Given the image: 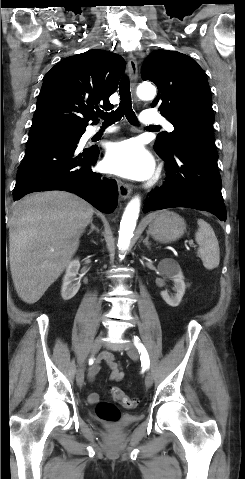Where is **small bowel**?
<instances>
[{
    "instance_id": "small-bowel-1",
    "label": "small bowel",
    "mask_w": 245,
    "mask_h": 479,
    "mask_svg": "<svg viewBox=\"0 0 245 479\" xmlns=\"http://www.w3.org/2000/svg\"><path fill=\"white\" fill-rule=\"evenodd\" d=\"M101 362H104L110 369H111V374H110V379L112 381H120L124 378V371L121 368L120 364L114 359L113 355L111 353L105 352L101 355L100 358ZM100 366L99 364H95L92 366L90 369V379H93L94 376L99 372ZM98 400V394L94 392H90L88 394V401L90 403H95Z\"/></svg>"
}]
</instances>
